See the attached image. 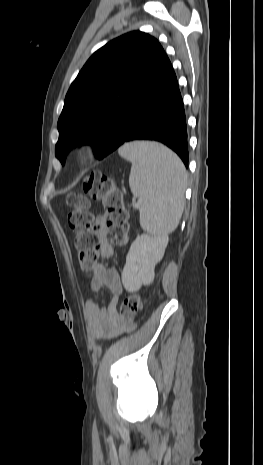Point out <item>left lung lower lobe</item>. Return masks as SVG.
<instances>
[{
    "mask_svg": "<svg viewBox=\"0 0 263 465\" xmlns=\"http://www.w3.org/2000/svg\"><path fill=\"white\" fill-rule=\"evenodd\" d=\"M133 140L161 142L175 151L188 167L184 106L176 75L165 52L140 80L134 100L121 110L110 140L97 157L103 159Z\"/></svg>",
    "mask_w": 263,
    "mask_h": 465,
    "instance_id": "obj_1",
    "label": "left lung lower lobe"
}]
</instances>
